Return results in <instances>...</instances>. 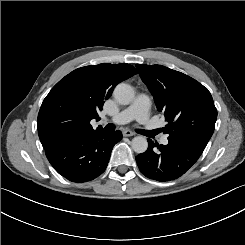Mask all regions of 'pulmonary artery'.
Returning a JSON list of instances; mask_svg holds the SVG:
<instances>
[{
    "label": "pulmonary artery",
    "instance_id": "e3ab8cb5",
    "mask_svg": "<svg viewBox=\"0 0 245 245\" xmlns=\"http://www.w3.org/2000/svg\"><path fill=\"white\" fill-rule=\"evenodd\" d=\"M135 104V105H134ZM151 108V100L145 94H139L135 97L134 103L124 108L117 115L112 117V121L118 124H124L130 120L137 119L144 123L148 120ZM159 143L162 146H167L170 143V136L167 133H162L159 136Z\"/></svg>",
    "mask_w": 245,
    "mask_h": 245
}]
</instances>
